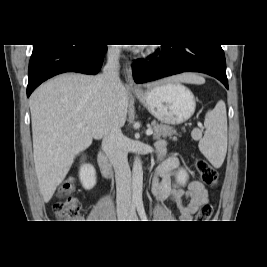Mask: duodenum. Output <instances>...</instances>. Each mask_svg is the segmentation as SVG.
Listing matches in <instances>:
<instances>
[{"mask_svg": "<svg viewBox=\"0 0 267 267\" xmlns=\"http://www.w3.org/2000/svg\"><path fill=\"white\" fill-rule=\"evenodd\" d=\"M97 162L104 177L108 178L113 174L112 166L101 149L98 151Z\"/></svg>", "mask_w": 267, "mask_h": 267, "instance_id": "obj_1", "label": "duodenum"}]
</instances>
